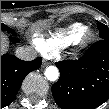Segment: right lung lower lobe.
<instances>
[{"mask_svg": "<svg viewBox=\"0 0 109 109\" xmlns=\"http://www.w3.org/2000/svg\"><path fill=\"white\" fill-rule=\"evenodd\" d=\"M10 39L13 42L20 41L14 36H10ZM41 62V57L33 61H23L14 55L1 56V108L14 100L24 78L31 71L38 69Z\"/></svg>", "mask_w": 109, "mask_h": 109, "instance_id": "obj_1", "label": "right lung lower lobe"}]
</instances>
